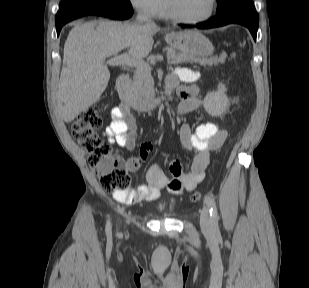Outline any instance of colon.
I'll list each match as a JSON object with an SVG mask.
<instances>
[{
    "instance_id": "5ec220e1",
    "label": "colon",
    "mask_w": 309,
    "mask_h": 288,
    "mask_svg": "<svg viewBox=\"0 0 309 288\" xmlns=\"http://www.w3.org/2000/svg\"><path fill=\"white\" fill-rule=\"evenodd\" d=\"M102 122L100 106L92 105L83 109L75 118L71 134L87 153L88 166L97 175L101 187L106 192L125 193L130 184L126 162L98 135L97 130L102 126ZM201 197L200 192H194L190 199L196 202Z\"/></svg>"
}]
</instances>
